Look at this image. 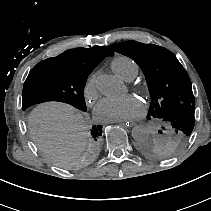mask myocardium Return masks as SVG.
I'll return each mask as SVG.
<instances>
[{"mask_svg":"<svg viewBox=\"0 0 211 211\" xmlns=\"http://www.w3.org/2000/svg\"><path fill=\"white\" fill-rule=\"evenodd\" d=\"M134 90L143 95L145 98L149 96V91L145 85H135Z\"/></svg>","mask_w":211,"mask_h":211,"instance_id":"myocardium-1","label":"myocardium"}]
</instances>
